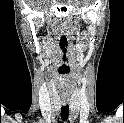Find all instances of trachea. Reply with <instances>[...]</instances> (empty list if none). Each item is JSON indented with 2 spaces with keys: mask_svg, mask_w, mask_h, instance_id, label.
<instances>
[{
  "mask_svg": "<svg viewBox=\"0 0 124 123\" xmlns=\"http://www.w3.org/2000/svg\"><path fill=\"white\" fill-rule=\"evenodd\" d=\"M68 116H69V105L68 104L62 105V107H61V119L63 121H67Z\"/></svg>",
  "mask_w": 124,
  "mask_h": 123,
  "instance_id": "3493384b",
  "label": "trachea"
}]
</instances>
